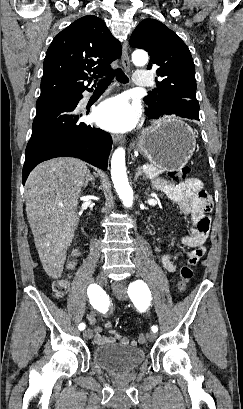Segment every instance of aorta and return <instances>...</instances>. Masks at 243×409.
<instances>
[{"mask_svg": "<svg viewBox=\"0 0 243 409\" xmlns=\"http://www.w3.org/2000/svg\"><path fill=\"white\" fill-rule=\"evenodd\" d=\"M132 61L137 66H144L148 62V55L146 52L136 51L132 55ZM111 176L115 190L124 206L132 207L133 190L128 182L125 166V149L122 147L117 148L112 155Z\"/></svg>", "mask_w": 243, "mask_h": 409, "instance_id": "1", "label": "aorta"}]
</instances>
